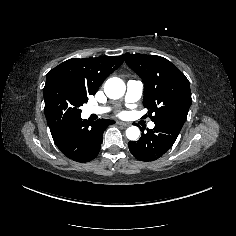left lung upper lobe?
<instances>
[{"mask_svg":"<svg viewBox=\"0 0 236 236\" xmlns=\"http://www.w3.org/2000/svg\"><path fill=\"white\" fill-rule=\"evenodd\" d=\"M123 58L144 82L143 105L149 110L151 120L155 123L174 119L184 123L192 103L185 75L160 56L124 54Z\"/></svg>","mask_w":236,"mask_h":236,"instance_id":"left-lung-upper-lobe-1","label":"left lung upper lobe"}]
</instances>
